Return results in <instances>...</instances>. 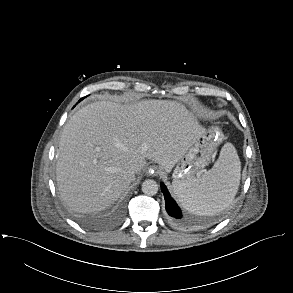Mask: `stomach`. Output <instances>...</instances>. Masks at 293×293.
<instances>
[{"mask_svg": "<svg viewBox=\"0 0 293 293\" xmlns=\"http://www.w3.org/2000/svg\"><path fill=\"white\" fill-rule=\"evenodd\" d=\"M223 140L218 127H211L177 161L173 171V188L199 176L203 168L211 161L217 146Z\"/></svg>", "mask_w": 293, "mask_h": 293, "instance_id": "stomach-1", "label": "stomach"}]
</instances>
